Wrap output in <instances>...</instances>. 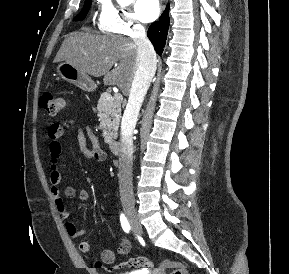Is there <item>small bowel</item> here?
I'll return each instance as SVG.
<instances>
[{
  "mask_svg": "<svg viewBox=\"0 0 289 274\" xmlns=\"http://www.w3.org/2000/svg\"><path fill=\"white\" fill-rule=\"evenodd\" d=\"M70 128H76L78 136L82 137L84 134L87 135L92 143L90 149L85 150V155L89 158H93L98 161H103L106 159V154L100 148L98 140L90 127H85L84 129L78 127L73 121L66 122H55L52 123L47 132L49 139V180L51 183V195L59 216L66 220L69 217V212L64 202V198H74L78 197L81 201H87L90 197L89 193L85 189H76L73 186H67L64 189L60 188V183L62 180L61 171L58 165V160L62 153L61 138L65 131ZM65 228L67 233L73 237L77 238L83 236L86 233L85 229H78L75 223L66 222ZM78 248L82 253H88L91 250V244L87 240H82L78 244ZM131 249V242L128 238L123 237L120 245L117 248V252L112 249H105L101 253V261L104 264L111 265L116 259V255H125Z\"/></svg>",
  "mask_w": 289,
  "mask_h": 274,
  "instance_id": "1",
  "label": "small bowel"
}]
</instances>
